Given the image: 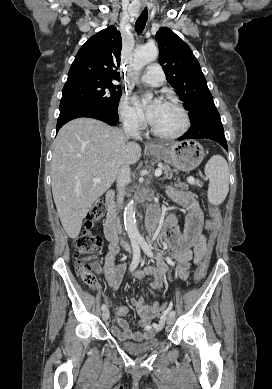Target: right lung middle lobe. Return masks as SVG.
<instances>
[{
    "label": "right lung middle lobe",
    "instance_id": "dd1d6c3e",
    "mask_svg": "<svg viewBox=\"0 0 272 389\" xmlns=\"http://www.w3.org/2000/svg\"><path fill=\"white\" fill-rule=\"evenodd\" d=\"M121 95L120 87L111 81L85 80L65 84L61 100H87L117 111Z\"/></svg>",
    "mask_w": 272,
    "mask_h": 389
}]
</instances>
